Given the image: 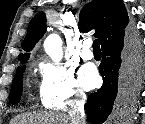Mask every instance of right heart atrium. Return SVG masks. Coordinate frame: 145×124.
Instances as JSON below:
<instances>
[{"instance_id": "obj_1", "label": "right heart atrium", "mask_w": 145, "mask_h": 124, "mask_svg": "<svg viewBox=\"0 0 145 124\" xmlns=\"http://www.w3.org/2000/svg\"><path fill=\"white\" fill-rule=\"evenodd\" d=\"M41 74V97L51 108L64 110L82 102L84 92L72 69L44 63Z\"/></svg>"}]
</instances>
